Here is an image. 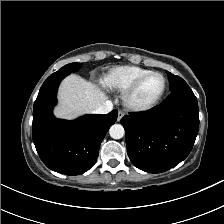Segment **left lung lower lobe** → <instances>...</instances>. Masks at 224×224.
<instances>
[{
    "label": "left lung lower lobe",
    "instance_id": "0a47b994",
    "mask_svg": "<svg viewBox=\"0 0 224 224\" xmlns=\"http://www.w3.org/2000/svg\"><path fill=\"white\" fill-rule=\"evenodd\" d=\"M131 162L148 173L169 170L190 153L199 129L197 99L188 85L160 105L121 119Z\"/></svg>",
    "mask_w": 224,
    "mask_h": 224
}]
</instances>
